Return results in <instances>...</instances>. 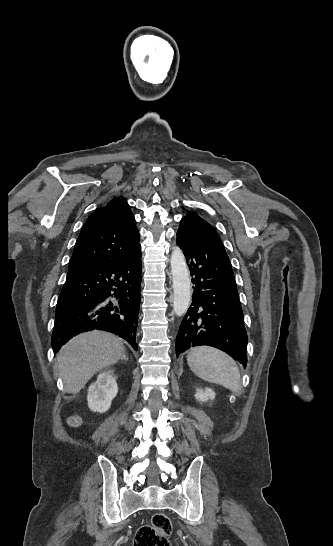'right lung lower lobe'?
<instances>
[{"label":"right lung lower lobe","mask_w":333,"mask_h":546,"mask_svg":"<svg viewBox=\"0 0 333 546\" xmlns=\"http://www.w3.org/2000/svg\"><path fill=\"white\" fill-rule=\"evenodd\" d=\"M141 271L140 246L120 260L69 270L56 306L54 352L75 335L95 329L114 333L137 350Z\"/></svg>","instance_id":"right-lung-lower-lobe-1"}]
</instances>
